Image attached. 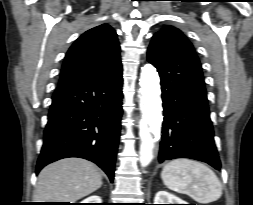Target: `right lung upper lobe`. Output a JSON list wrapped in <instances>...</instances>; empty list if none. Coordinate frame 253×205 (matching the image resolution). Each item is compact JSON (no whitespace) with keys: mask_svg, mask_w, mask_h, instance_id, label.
<instances>
[{"mask_svg":"<svg viewBox=\"0 0 253 205\" xmlns=\"http://www.w3.org/2000/svg\"><path fill=\"white\" fill-rule=\"evenodd\" d=\"M121 65L117 34L108 24L86 31L68 50L58 87L101 76Z\"/></svg>","mask_w":253,"mask_h":205,"instance_id":"right-lung-upper-lobe-1","label":"right lung upper lobe"}]
</instances>
